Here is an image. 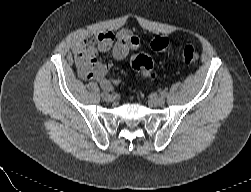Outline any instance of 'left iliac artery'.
<instances>
[{
    "instance_id": "obj_1",
    "label": "left iliac artery",
    "mask_w": 251,
    "mask_h": 192,
    "mask_svg": "<svg viewBox=\"0 0 251 192\" xmlns=\"http://www.w3.org/2000/svg\"><path fill=\"white\" fill-rule=\"evenodd\" d=\"M160 94L164 97V96H166L167 92L166 91H161Z\"/></svg>"
}]
</instances>
